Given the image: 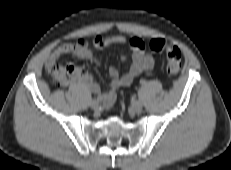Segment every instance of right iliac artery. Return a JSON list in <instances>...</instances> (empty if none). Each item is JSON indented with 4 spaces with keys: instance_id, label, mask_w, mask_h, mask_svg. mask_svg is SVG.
Instances as JSON below:
<instances>
[{
    "instance_id": "right-iliac-artery-1",
    "label": "right iliac artery",
    "mask_w": 231,
    "mask_h": 170,
    "mask_svg": "<svg viewBox=\"0 0 231 170\" xmlns=\"http://www.w3.org/2000/svg\"><path fill=\"white\" fill-rule=\"evenodd\" d=\"M97 100L99 101V100H100V98L98 97V98H97Z\"/></svg>"
}]
</instances>
